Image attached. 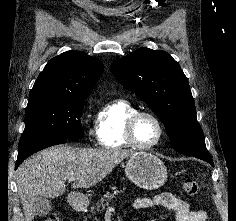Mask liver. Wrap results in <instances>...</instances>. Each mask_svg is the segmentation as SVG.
I'll use <instances>...</instances> for the list:
<instances>
[{
  "mask_svg": "<svg viewBox=\"0 0 236 221\" xmlns=\"http://www.w3.org/2000/svg\"><path fill=\"white\" fill-rule=\"evenodd\" d=\"M132 154L130 150L115 148L55 146L28 158L19 166L16 178L25 221L33 220L38 196L62 195L66 190L65 181L70 177L75 178L73 188H90Z\"/></svg>",
  "mask_w": 236,
  "mask_h": 221,
  "instance_id": "obj_1",
  "label": "liver"
}]
</instances>
